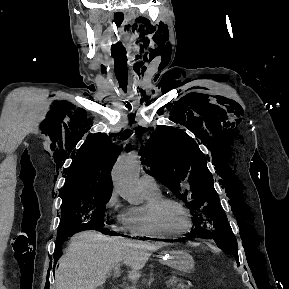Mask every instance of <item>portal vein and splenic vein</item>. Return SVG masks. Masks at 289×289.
Here are the masks:
<instances>
[{"label":"portal vein and splenic vein","mask_w":289,"mask_h":289,"mask_svg":"<svg viewBox=\"0 0 289 289\" xmlns=\"http://www.w3.org/2000/svg\"><path fill=\"white\" fill-rule=\"evenodd\" d=\"M119 271H120V265H116L114 267V274L117 275L119 273ZM128 289H132V288H128Z\"/></svg>","instance_id":"portal-vein-and-splenic-vein-1"}]
</instances>
